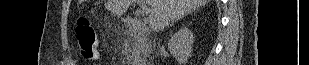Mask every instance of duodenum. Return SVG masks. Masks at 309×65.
Listing matches in <instances>:
<instances>
[{
  "label": "duodenum",
  "mask_w": 309,
  "mask_h": 65,
  "mask_svg": "<svg viewBox=\"0 0 309 65\" xmlns=\"http://www.w3.org/2000/svg\"><path fill=\"white\" fill-rule=\"evenodd\" d=\"M124 22L128 33L135 36L142 34L143 26H141V23L138 20L126 18Z\"/></svg>",
  "instance_id": "duodenum-1"
}]
</instances>
